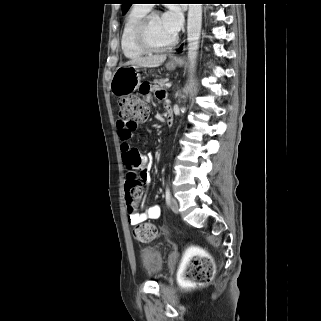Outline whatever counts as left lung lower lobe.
Masks as SVG:
<instances>
[{
	"instance_id": "obj_1",
	"label": "left lung lower lobe",
	"mask_w": 321,
	"mask_h": 321,
	"mask_svg": "<svg viewBox=\"0 0 321 321\" xmlns=\"http://www.w3.org/2000/svg\"><path fill=\"white\" fill-rule=\"evenodd\" d=\"M202 1H204V0H202ZM181 49H182V46L178 50H181Z\"/></svg>"
}]
</instances>
